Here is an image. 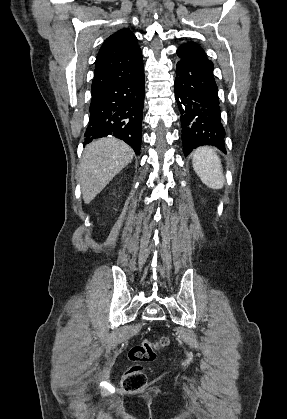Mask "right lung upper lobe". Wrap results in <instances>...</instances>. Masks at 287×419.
Here are the masks:
<instances>
[{
  "label": "right lung upper lobe",
  "instance_id": "1",
  "mask_svg": "<svg viewBox=\"0 0 287 419\" xmlns=\"http://www.w3.org/2000/svg\"><path fill=\"white\" fill-rule=\"evenodd\" d=\"M95 65L91 92L137 72L143 61L135 35L121 29L109 36L98 52Z\"/></svg>",
  "mask_w": 287,
  "mask_h": 419
}]
</instances>
